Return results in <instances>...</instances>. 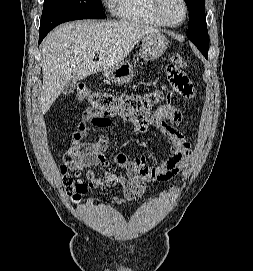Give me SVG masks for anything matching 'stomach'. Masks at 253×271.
Instances as JSON below:
<instances>
[{"label":"stomach","instance_id":"obj_1","mask_svg":"<svg viewBox=\"0 0 253 271\" xmlns=\"http://www.w3.org/2000/svg\"><path fill=\"white\" fill-rule=\"evenodd\" d=\"M168 46L167 38L158 32L146 35L142 41L139 55L145 61L161 57ZM135 71L129 61H123L119 65L108 69L104 75L109 81L117 84L129 82L134 77Z\"/></svg>","mask_w":253,"mask_h":271}]
</instances>
